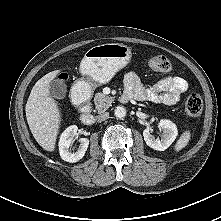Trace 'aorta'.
<instances>
[{
	"mask_svg": "<svg viewBox=\"0 0 221 221\" xmlns=\"http://www.w3.org/2000/svg\"><path fill=\"white\" fill-rule=\"evenodd\" d=\"M114 115L117 118H123L126 116V109L123 106H117L114 110Z\"/></svg>",
	"mask_w": 221,
	"mask_h": 221,
	"instance_id": "1",
	"label": "aorta"
}]
</instances>
